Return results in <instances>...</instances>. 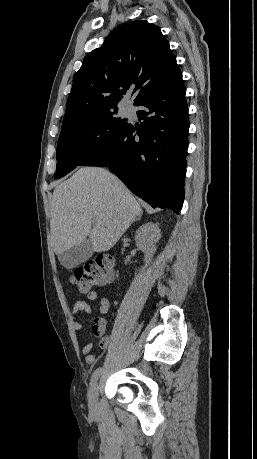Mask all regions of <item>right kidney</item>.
<instances>
[{"label":"right kidney","mask_w":257,"mask_h":459,"mask_svg":"<svg viewBox=\"0 0 257 459\" xmlns=\"http://www.w3.org/2000/svg\"><path fill=\"white\" fill-rule=\"evenodd\" d=\"M161 238L158 224L148 222L142 225L135 234L136 246L145 253L146 265L152 261L156 252V243Z\"/></svg>","instance_id":"1"}]
</instances>
